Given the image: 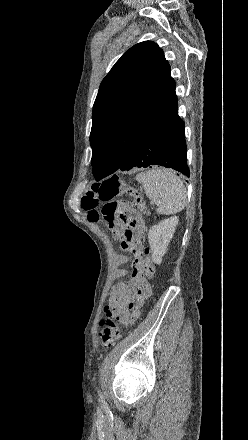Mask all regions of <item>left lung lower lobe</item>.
<instances>
[{
    "instance_id": "obj_1",
    "label": "left lung lower lobe",
    "mask_w": 248,
    "mask_h": 440,
    "mask_svg": "<svg viewBox=\"0 0 248 440\" xmlns=\"http://www.w3.org/2000/svg\"><path fill=\"white\" fill-rule=\"evenodd\" d=\"M184 129L177 107L129 149L117 170L128 171L135 167L161 165L189 177Z\"/></svg>"
}]
</instances>
